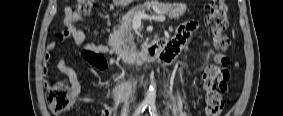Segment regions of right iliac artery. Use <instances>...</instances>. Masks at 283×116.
Wrapping results in <instances>:
<instances>
[{
    "mask_svg": "<svg viewBox=\"0 0 283 116\" xmlns=\"http://www.w3.org/2000/svg\"><path fill=\"white\" fill-rule=\"evenodd\" d=\"M148 103L147 102H142L136 112L134 113L135 116L140 115V113L144 112V110L147 108Z\"/></svg>",
    "mask_w": 283,
    "mask_h": 116,
    "instance_id": "obj_1",
    "label": "right iliac artery"
}]
</instances>
